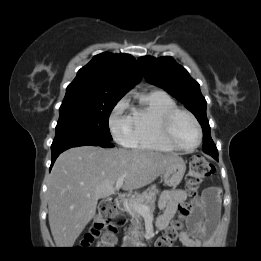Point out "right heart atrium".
Wrapping results in <instances>:
<instances>
[{"label": "right heart atrium", "mask_w": 261, "mask_h": 261, "mask_svg": "<svg viewBox=\"0 0 261 261\" xmlns=\"http://www.w3.org/2000/svg\"><path fill=\"white\" fill-rule=\"evenodd\" d=\"M127 106V100L121 99L109 119V126L115 140L124 145L129 144L132 135L130 117L125 114Z\"/></svg>", "instance_id": "obj_1"}]
</instances>
